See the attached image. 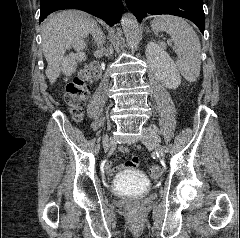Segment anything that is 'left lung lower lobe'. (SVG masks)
<instances>
[{
    "label": "left lung lower lobe",
    "mask_w": 240,
    "mask_h": 238,
    "mask_svg": "<svg viewBox=\"0 0 240 238\" xmlns=\"http://www.w3.org/2000/svg\"><path fill=\"white\" fill-rule=\"evenodd\" d=\"M126 4L139 22L147 15L170 14L191 20L204 32L203 0H126Z\"/></svg>",
    "instance_id": "obj_1"
}]
</instances>
